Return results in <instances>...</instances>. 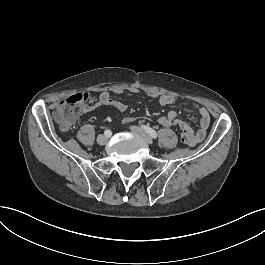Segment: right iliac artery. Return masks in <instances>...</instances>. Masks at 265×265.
<instances>
[{"label":"right iliac artery","instance_id":"right-iliac-artery-1","mask_svg":"<svg viewBox=\"0 0 265 265\" xmlns=\"http://www.w3.org/2000/svg\"><path fill=\"white\" fill-rule=\"evenodd\" d=\"M104 135L107 136V137H110L112 135V132L110 130H106L104 132Z\"/></svg>","mask_w":265,"mask_h":265}]
</instances>
